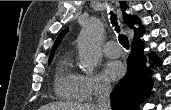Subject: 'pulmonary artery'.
I'll use <instances>...</instances> for the list:
<instances>
[{"instance_id": "1", "label": "pulmonary artery", "mask_w": 171, "mask_h": 110, "mask_svg": "<svg viewBox=\"0 0 171 110\" xmlns=\"http://www.w3.org/2000/svg\"><path fill=\"white\" fill-rule=\"evenodd\" d=\"M104 53L106 56L111 58L119 57L122 53V49L118 42L108 41L104 45Z\"/></svg>"}]
</instances>
